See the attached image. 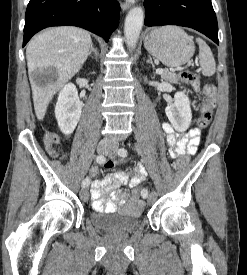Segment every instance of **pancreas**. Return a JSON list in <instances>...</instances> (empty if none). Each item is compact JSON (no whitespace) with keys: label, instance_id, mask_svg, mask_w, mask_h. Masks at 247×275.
I'll use <instances>...</instances> for the list:
<instances>
[{"label":"pancreas","instance_id":"1","mask_svg":"<svg viewBox=\"0 0 247 275\" xmlns=\"http://www.w3.org/2000/svg\"><path fill=\"white\" fill-rule=\"evenodd\" d=\"M161 77L163 80L168 81L170 83H178V75L174 72L165 70L162 74Z\"/></svg>","mask_w":247,"mask_h":275}]
</instances>
